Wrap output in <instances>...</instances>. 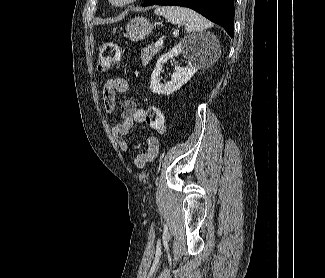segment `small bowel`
I'll return each mask as SVG.
<instances>
[{"mask_svg": "<svg viewBox=\"0 0 325 278\" xmlns=\"http://www.w3.org/2000/svg\"><path fill=\"white\" fill-rule=\"evenodd\" d=\"M128 90V81L122 77L108 79L103 87V104L106 113L112 114L116 107V96L118 93H124ZM146 110L139 107L134 101L126 100L122 103L120 109V120L113 125L114 134L120 138V147L126 150L129 146L125 137L129 134L135 123H144ZM162 130V129H160ZM147 149L136 156L135 164L138 167H144L146 164L157 160L160 150L158 141L155 137L147 139ZM136 150L141 145H134Z\"/></svg>", "mask_w": 325, "mask_h": 278, "instance_id": "obj_1", "label": "small bowel"}]
</instances>
